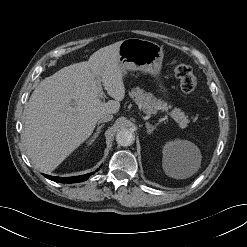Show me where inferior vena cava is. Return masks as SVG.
I'll return each instance as SVG.
<instances>
[{
    "instance_id": "602c4592",
    "label": "inferior vena cava",
    "mask_w": 247,
    "mask_h": 247,
    "mask_svg": "<svg viewBox=\"0 0 247 247\" xmlns=\"http://www.w3.org/2000/svg\"><path fill=\"white\" fill-rule=\"evenodd\" d=\"M113 119V115L112 114H100L97 118L98 123H105V122H109Z\"/></svg>"
}]
</instances>
